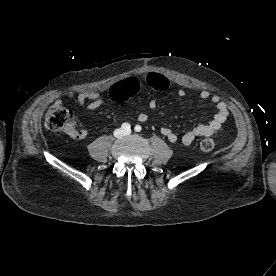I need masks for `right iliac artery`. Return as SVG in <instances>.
<instances>
[{
  "label": "right iliac artery",
  "mask_w": 276,
  "mask_h": 276,
  "mask_svg": "<svg viewBox=\"0 0 276 276\" xmlns=\"http://www.w3.org/2000/svg\"><path fill=\"white\" fill-rule=\"evenodd\" d=\"M121 127H122V129H124L125 131H128V130H130L131 125H130L129 123H123Z\"/></svg>",
  "instance_id": "obj_1"
}]
</instances>
